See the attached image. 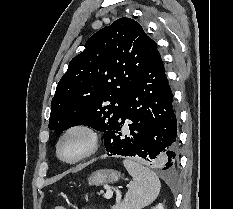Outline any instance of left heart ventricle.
I'll return each instance as SVG.
<instances>
[{"label":"left heart ventricle","mask_w":233,"mask_h":209,"mask_svg":"<svg viewBox=\"0 0 233 209\" xmlns=\"http://www.w3.org/2000/svg\"><path fill=\"white\" fill-rule=\"evenodd\" d=\"M86 138L81 134H72L62 143L60 153L65 158H73L79 155L86 147Z\"/></svg>","instance_id":"obj_1"}]
</instances>
